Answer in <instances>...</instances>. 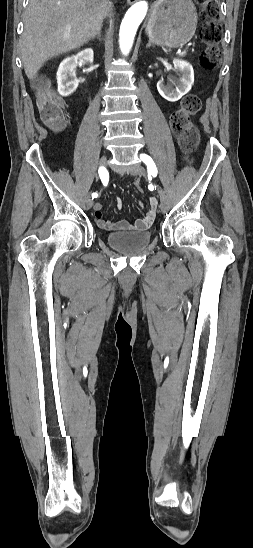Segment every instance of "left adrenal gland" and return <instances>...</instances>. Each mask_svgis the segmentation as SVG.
Listing matches in <instances>:
<instances>
[{
  "label": "left adrenal gland",
  "mask_w": 253,
  "mask_h": 548,
  "mask_svg": "<svg viewBox=\"0 0 253 548\" xmlns=\"http://www.w3.org/2000/svg\"><path fill=\"white\" fill-rule=\"evenodd\" d=\"M152 46V43L151 42H148V44L146 45V48H149Z\"/></svg>",
  "instance_id": "left-adrenal-gland-1"
}]
</instances>
